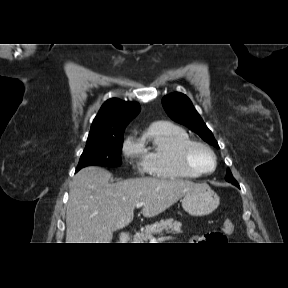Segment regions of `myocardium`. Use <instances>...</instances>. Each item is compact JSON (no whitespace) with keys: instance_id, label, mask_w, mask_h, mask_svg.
<instances>
[{"instance_id":"myocardium-1","label":"myocardium","mask_w":288,"mask_h":288,"mask_svg":"<svg viewBox=\"0 0 288 288\" xmlns=\"http://www.w3.org/2000/svg\"><path fill=\"white\" fill-rule=\"evenodd\" d=\"M196 148H202L204 150H206L211 157L213 158V168L209 171H205L199 167H197L193 160H192V153L194 151V149ZM180 161L181 164L183 165V167L185 169H187L190 172H193L199 176H205V175H211L213 174L218 166V158L217 155L215 153V151L206 143L201 142V141H195V140H189L188 142H186L180 149Z\"/></svg>"}]
</instances>
